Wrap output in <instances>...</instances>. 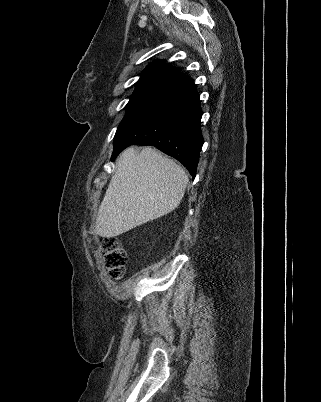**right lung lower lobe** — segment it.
Here are the masks:
<instances>
[{"mask_svg": "<svg viewBox=\"0 0 321 402\" xmlns=\"http://www.w3.org/2000/svg\"><path fill=\"white\" fill-rule=\"evenodd\" d=\"M201 117L199 94L187 79L114 138L112 160L130 145H152L180 161L195 178L203 145Z\"/></svg>", "mask_w": 321, "mask_h": 402, "instance_id": "1", "label": "right lung lower lobe"}]
</instances>
